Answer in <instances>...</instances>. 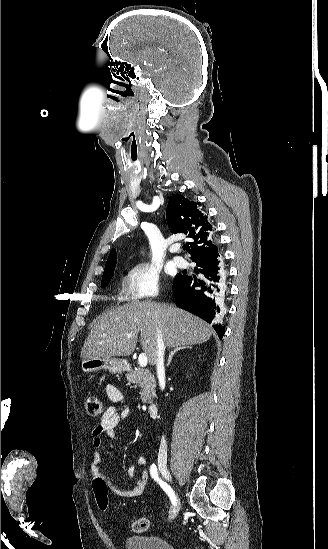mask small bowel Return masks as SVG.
Here are the masks:
<instances>
[{"instance_id":"c3829d8e","label":"small bowel","mask_w":328,"mask_h":549,"mask_svg":"<svg viewBox=\"0 0 328 549\" xmlns=\"http://www.w3.org/2000/svg\"><path fill=\"white\" fill-rule=\"evenodd\" d=\"M106 395L108 399L113 404L122 403L124 400V396L122 392L114 385L108 384L105 388ZM130 413L129 408H123L119 410L116 406L111 405L107 408L105 413L103 414L100 424L95 427L92 431V453L89 461V467L92 476L97 478H103V475L100 471L99 464L101 462V453H100V447L102 445V438L104 435L115 439L116 438V428L119 426V424L124 421ZM135 463L140 466H146L148 464V461L143 456H138L135 459ZM126 474L129 478L135 477V466L133 464H130L127 467ZM149 481V471L147 469H144L136 481L135 485L130 489H121L119 487H115V491L118 494H121L123 496L127 497H137L143 494L145 491L147 484Z\"/></svg>"}]
</instances>
